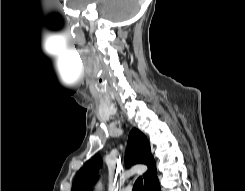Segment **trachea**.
<instances>
[{
	"label": "trachea",
	"instance_id": "1",
	"mask_svg": "<svg viewBox=\"0 0 245 191\" xmlns=\"http://www.w3.org/2000/svg\"><path fill=\"white\" fill-rule=\"evenodd\" d=\"M133 191H143V180L142 177H139L133 186Z\"/></svg>",
	"mask_w": 245,
	"mask_h": 191
}]
</instances>
